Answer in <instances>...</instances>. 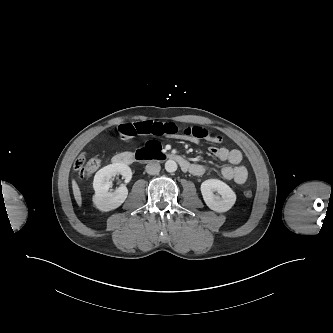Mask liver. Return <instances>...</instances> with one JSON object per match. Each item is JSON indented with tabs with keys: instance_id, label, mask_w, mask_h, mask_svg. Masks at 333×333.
<instances>
[{
	"instance_id": "obj_1",
	"label": "liver",
	"mask_w": 333,
	"mask_h": 333,
	"mask_svg": "<svg viewBox=\"0 0 333 333\" xmlns=\"http://www.w3.org/2000/svg\"><path fill=\"white\" fill-rule=\"evenodd\" d=\"M72 189H73V195L74 198L79 206L82 205V197H81V191L80 188L75 180L72 181Z\"/></svg>"
}]
</instances>
